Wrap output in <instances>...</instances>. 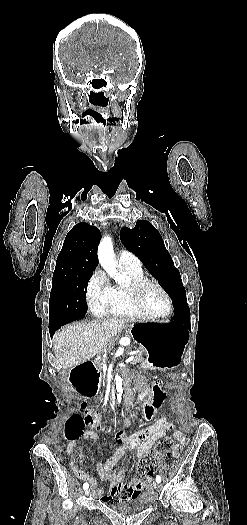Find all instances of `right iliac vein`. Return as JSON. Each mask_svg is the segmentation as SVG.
<instances>
[{
	"instance_id": "right-iliac-vein-1",
	"label": "right iliac vein",
	"mask_w": 247,
	"mask_h": 525,
	"mask_svg": "<svg viewBox=\"0 0 247 525\" xmlns=\"http://www.w3.org/2000/svg\"><path fill=\"white\" fill-rule=\"evenodd\" d=\"M91 490L90 489H86L85 491V495L88 496L90 494Z\"/></svg>"
}]
</instances>
